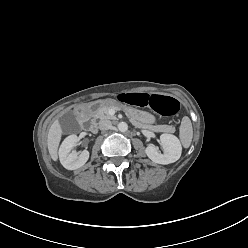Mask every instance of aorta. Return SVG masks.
I'll return each mask as SVG.
<instances>
[{"label":"aorta","mask_w":248,"mask_h":248,"mask_svg":"<svg viewBox=\"0 0 248 248\" xmlns=\"http://www.w3.org/2000/svg\"><path fill=\"white\" fill-rule=\"evenodd\" d=\"M118 130H119L120 132H125V131H127V130H128V125H127V123H126V122H120V123L118 124Z\"/></svg>","instance_id":"aorta-1"}]
</instances>
